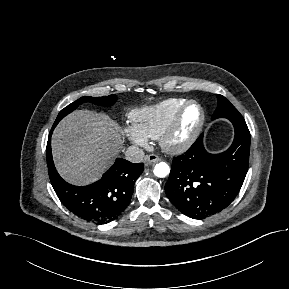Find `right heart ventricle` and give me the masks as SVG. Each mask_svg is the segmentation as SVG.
I'll return each instance as SVG.
<instances>
[{
  "instance_id": "obj_1",
  "label": "right heart ventricle",
  "mask_w": 289,
  "mask_h": 289,
  "mask_svg": "<svg viewBox=\"0 0 289 289\" xmlns=\"http://www.w3.org/2000/svg\"><path fill=\"white\" fill-rule=\"evenodd\" d=\"M184 98H169L157 104L133 111V124L147 137L158 139L173 121Z\"/></svg>"
}]
</instances>
